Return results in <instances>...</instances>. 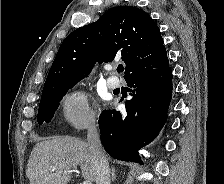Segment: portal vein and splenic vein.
<instances>
[{"label":"portal vein and splenic vein","instance_id":"obj_1","mask_svg":"<svg viewBox=\"0 0 224 184\" xmlns=\"http://www.w3.org/2000/svg\"><path fill=\"white\" fill-rule=\"evenodd\" d=\"M53 170H55V169L50 168V171H53ZM67 171L68 172H75V170H71V169H68ZM83 184H92V183H91V181H84Z\"/></svg>","mask_w":224,"mask_h":184}]
</instances>
